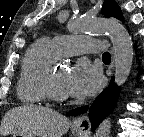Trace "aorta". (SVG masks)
I'll list each match as a JSON object with an SVG mask.
<instances>
[{"instance_id": "aorta-1", "label": "aorta", "mask_w": 144, "mask_h": 137, "mask_svg": "<svg viewBox=\"0 0 144 137\" xmlns=\"http://www.w3.org/2000/svg\"><path fill=\"white\" fill-rule=\"evenodd\" d=\"M71 32H107L114 48L115 83L118 87L127 81L133 62V43L125 27L116 20L103 19H73L68 22ZM111 133V118L106 117L95 131L94 137H109Z\"/></svg>"}]
</instances>
